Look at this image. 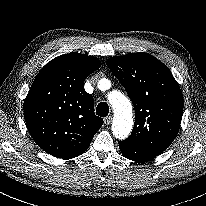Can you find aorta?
<instances>
[{"mask_svg": "<svg viewBox=\"0 0 206 206\" xmlns=\"http://www.w3.org/2000/svg\"><path fill=\"white\" fill-rule=\"evenodd\" d=\"M109 103L114 112L112 131L117 139H125L133 127L132 105L120 91H112L108 95Z\"/></svg>", "mask_w": 206, "mask_h": 206, "instance_id": "aorta-1", "label": "aorta"}]
</instances>
